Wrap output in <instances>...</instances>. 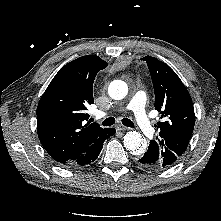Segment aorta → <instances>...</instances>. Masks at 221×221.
Segmentation results:
<instances>
[{
    "mask_svg": "<svg viewBox=\"0 0 221 221\" xmlns=\"http://www.w3.org/2000/svg\"><path fill=\"white\" fill-rule=\"evenodd\" d=\"M128 86L122 80H114L108 87V94L114 100H121L126 97ZM124 147L133 155H140L145 152L147 144L144 137L136 131H130L124 136Z\"/></svg>",
    "mask_w": 221,
    "mask_h": 221,
    "instance_id": "762f6f07",
    "label": "aorta"
}]
</instances>
